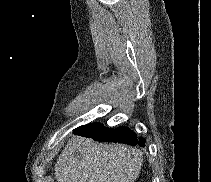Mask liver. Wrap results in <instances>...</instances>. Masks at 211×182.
<instances>
[{"label":"liver","mask_w":211,"mask_h":182,"mask_svg":"<svg viewBox=\"0 0 211 182\" xmlns=\"http://www.w3.org/2000/svg\"><path fill=\"white\" fill-rule=\"evenodd\" d=\"M142 153L122 144L96 143L73 136L55 164L58 182H134Z\"/></svg>","instance_id":"obj_1"}]
</instances>
